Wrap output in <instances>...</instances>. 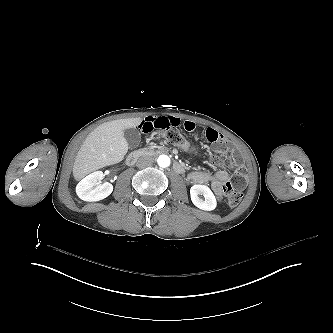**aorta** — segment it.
I'll return each instance as SVG.
<instances>
[{"instance_id": "aorta-1", "label": "aorta", "mask_w": 333, "mask_h": 333, "mask_svg": "<svg viewBox=\"0 0 333 333\" xmlns=\"http://www.w3.org/2000/svg\"><path fill=\"white\" fill-rule=\"evenodd\" d=\"M157 162L160 167L165 168L170 165V158L167 155H160Z\"/></svg>"}]
</instances>
